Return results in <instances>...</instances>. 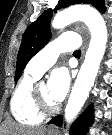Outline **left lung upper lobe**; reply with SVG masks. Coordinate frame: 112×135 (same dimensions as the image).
I'll return each instance as SVG.
<instances>
[{
  "label": "left lung upper lobe",
  "instance_id": "1",
  "mask_svg": "<svg viewBox=\"0 0 112 135\" xmlns=\"http://www.w3.org/2000/svg\"><path fill=\"white\" fill-rule=\"evenodd\" d=\"M74 4H91L102 13L106 10L104 0H59L54 10L47 9L44 11L23 34L22 44L17 56L15 81L20 78L29 60L50 40L49 23L53 12H56L61 7H68Z\"/></svg>",
  "mask_w": 112,
  "mask_h": 135
}]
</instances>
